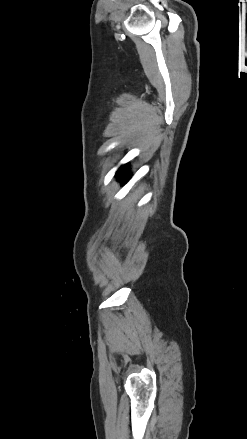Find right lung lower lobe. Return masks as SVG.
Listing matches in <instances>:
<instances>
[{
    "instance_id": "98d812e1",
    "label": "right lung lower lobe",
    "mask_w": 247,
    "mask_h": 439,
    "mask_svg": "<svg viewBox=\"0 0 247 439\" xmlns=\"http://www.w3.org/2000/svg\"><path fill=\"white\" fill-rule=\"evenodd\" d=\"M129 173V167L128 165H123L119 168V170L117 171V178L120 181H123L124 184L130 179V177L128 176Z\"/></svg>"
}]
</instances>
